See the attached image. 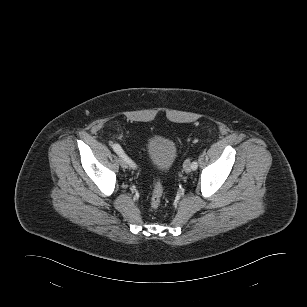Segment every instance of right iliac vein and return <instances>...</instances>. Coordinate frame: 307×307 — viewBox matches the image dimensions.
I'll list each match as a JSON object with an SVG mask.
<instances>
[{
  "instance_id": "1",
  "label": "right iliac vein",
  "mask_w": 307,
  "mask_h": 307,
  "mask_svg": "<svg viewBox=\"0 0 307 307\" xmlns=\"http://www.w3.org/2000/svg\"><path fill=\"white\" fill-rule=\"evenodd\" d=\"M119 163H120V165H121V167L123 168V169H126V168H128V163H127V161L124 159V158H120L119 159Z\"/></svg>"
}]
</instances>
